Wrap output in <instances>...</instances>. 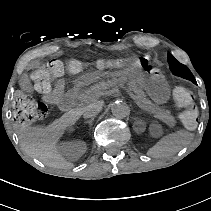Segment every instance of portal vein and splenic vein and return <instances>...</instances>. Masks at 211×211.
Segmentation results:
<instances>
[{"mask_svg":"<svg viewBox=\"0 0 211 211\" xmlns=\"http://www.w3.org/2000/svg\"><path fill=\"white\" fill-rule=\"evenodd\" d=\"M122 90L126 91L127 94H129L130 98L132 99V101H134L135 106L140 107L141 110H144L145 112H147L148 110L146 108H144V106L142 104H138L137 100H135L133 93H131V91L127 90L128 87L126 88V86L124 87V85H120Z\"/></svg>","mask_w":211,"mask_h":211,"instance_id":"portal-vein-and-splenic-vein-1","label":"portal vein and splenic vein"}]
</instances>
